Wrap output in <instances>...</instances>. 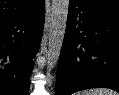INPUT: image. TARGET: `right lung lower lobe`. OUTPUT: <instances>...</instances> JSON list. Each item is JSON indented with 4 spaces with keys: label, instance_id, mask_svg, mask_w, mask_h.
<instances>
[{
    "label": "right lung lower lobe",
    "instance_id": "right-lung-lower-lobe-1",
    "mask_svg": "<svg viewBox=\"0 0 119 95\" xmlns=\"http://www.w3.org/2000/svg\"><path fill=\"white\" fill-rule=\"evenodd\" d=\"M45 4L0 23V94L28 95L44 24Z\"/></svg>",
    "mask_w": 119,
    "mask_h": 95
}]
</instances>
